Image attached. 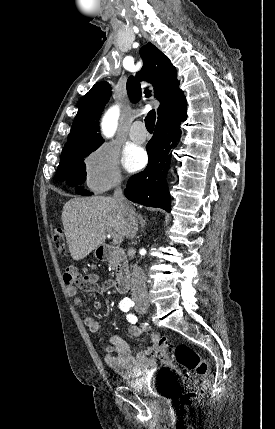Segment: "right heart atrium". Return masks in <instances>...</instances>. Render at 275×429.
Returning <instances> with one entry per match:
<instances>
[{
	"instance_id": "right-heart-atrium-1",
	"label": "right heart atrium",
	"mask_w": 275,
	"mask_h": 429,
	"mask_svg": "<svg viewBox=\"0 0 275 429\" xmlns=\"http://www.w3.org/2000/svg\"><path fill=\"white\" fill-rule=\"evenodd\" d=\"M85 182L97 192L105 191L122 181L119 155L109 145L92 150L83 160Z\"/></svg>"
}]
</instances>
